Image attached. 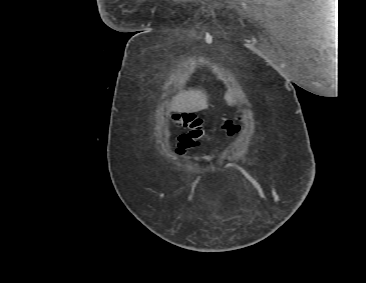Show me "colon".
<instances>
[{
    "mask_svg": "<svg viewBox=\"0 0 366 283\" xmlns=\"http://www.w3.org/2000/svg\"><path fill=\"white\" fill-rule=\"evenodd\" d=\"M172 122L186 130L178 138L176 152L180 155L196 147L206 135L204 120L194 114H175L172 116ZM223 130L231 136L238 132L239 125L232 120H227L223 125Z\"/></svg>",
    "mask_w": 366,
    "mask_h": 283,
    "instance_id": "1",
    "label": "colon"
}]
</instances>
